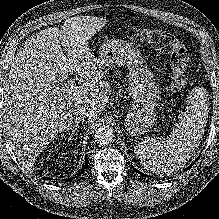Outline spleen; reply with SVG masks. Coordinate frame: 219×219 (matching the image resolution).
Segmentation results:
<instances>
[{
    "label": "spleen",
    "mask_w": 219,
    "mask_h": 219,
    "mask_svg": "<svg viewBox=\"0 0 219 219\" xmlns=\"http://www.w3.org/2000/svg\"><path fill=\"white\" fill-rule=\"evenodd\" d=\"M207 109L205 90L196 88L188 96L181 120L169 137H151L137 143L134 147L136 158L155 175L176 172L193 156L201 143Z\"/></svg>",
    "instance_id": "3e777b00"
}]
</instances>
